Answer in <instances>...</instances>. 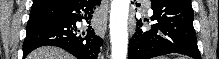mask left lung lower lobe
Instances as JSON below:
<instances>
[{
    "instance_id": "obj_1",
    "label": "left lung lower lobe",
    "mask_w": 219,
    "mask_h": 59,
    "mask_svg": "<svg viewBox=\"0 0 219 59\" xmlns=\"http://www.w3.org/2000/svg\"><path fill=\"white\" fill-rule=\"evenodd\" d=\"M156 23L142 29L141 20L129 41L128 59H150L170 53L200 59L191 0H151Z\"/></svg>"
}]
</instances>
